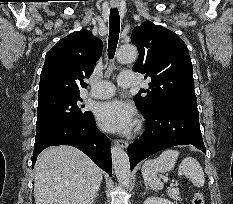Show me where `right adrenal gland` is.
<instances>
[{"label":"right adrenal gland","instance_id":"obj_1","mask_svg":"<svg viewBox=\"0 0 233 204\" xmlns=\"http://www.w3.org/2000/svg\"><path fill=\"white\" fill-rule=\"evenodd\" d=\"M96 198H97V194L95 195V197L93 198V200L91 201V203H90V204H94V203H95Z\"/></svg>","mask_w":233,"mask_h":204}]
</instances>
